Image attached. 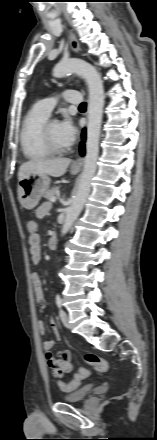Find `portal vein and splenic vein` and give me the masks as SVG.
Returning <instances> with one entry per match:
<instances>
[{
	"instance_id": "1",
	"label": "portal vein and splenic vein",
	"mask_w": 157,
	"mask_h": 440,
	"mask_svg": "<svg viewBox=\"0 0 157 440\" xmlns=\"http://www.w3.org/2000/svg\"><path fill=\"white\" fill-rule=\"evenodd\" d=\"M52 203L56 202V197H52L50 200Z\"/></svg>"
}]
</instances>
